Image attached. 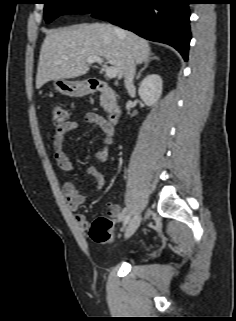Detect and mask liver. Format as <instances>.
<instances>
[{"instance_id": "liver-1", "label": "liver", "mask_w": 236, "mask_h": 321, "mask_svg": "<svg viewBox=\"0 0 236 321\" xmlns=\"http://www.w3.org/2000/svg\"><path fill=\"white\" fill-rule=\"evenodd\" d=\"M114 26L106 23L79 24L50 30L43 41L36 76V88L58 79H73L89 71L86 59L93 56L104 58L122 79L128 69V57L141 64L149 60V43L130 32L123 36Z\"/></svg>"}]
</instances>
